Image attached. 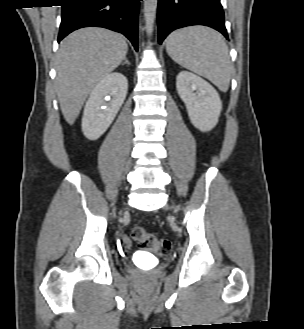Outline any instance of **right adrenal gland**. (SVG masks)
Returning <instances> with one entry per match:
<instances>
[{
	"mask_svg": "<svg viewBox=\"0 0 304 329\" xmlns=\"http://www.w3.org/2000/svg\"><path fill=\"white\" fill-rule=\"evenodd\" d=\"M124 64L130 65V63H129V61H128L127 58H125V61L121 65H124Z\"/></svg>",
	"mask_w": 304,
	"mask_h": 329,
	"instance_id": "obj_1",
	"label": "right adrenal gland"
}]
</instances>
